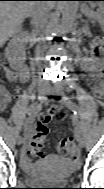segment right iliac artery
I'll use <instances>...</instances> for the list:
<instances>
[{"label":"right iliac artery","mask_w":104,"mask_h":189,"mask_svg":"<svg viewBox=\"0 0 104 189\" xmlns=\"http://www.w3.org/2000/svg\"><path fill=\"white\" fill-rule=\"evenodd\" d=\"M42 107H43L42 103L33 106L30 109L29 115L31 117H34L42 109ZM20 130H23V127H19V130H16V133H20ZM18 137H24V134H18Z\"/></svg>","instance_id":"right-iliac-artery-1"}]
</instances>
